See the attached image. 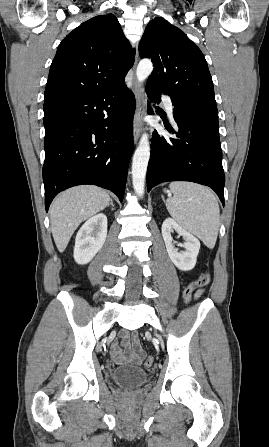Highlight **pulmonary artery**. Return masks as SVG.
<instances>
[{"instance_id": "pulmonary-artery-1", "label": "pulmonary artery", "mask_w": 269, "mask_h": 447, "mask_svg": "<svg viewBox=\"0 0 269 447\" xmlns=\"http://www.w3.org/2000/svg\"><path fill=\"white\" fill-rule=\"evenodd\" d=\"M163 103L170 119L173 120V105L171 99L169 97H164Z\"/></svg>"}]
</instances>
